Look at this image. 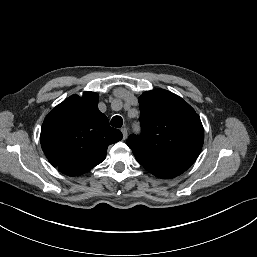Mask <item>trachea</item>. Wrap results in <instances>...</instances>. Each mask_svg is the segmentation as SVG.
<instances>
[{
	"label": "trachea",
	"mask_w": 257,
	"mask_h": 257,
	"mask_svg": "<svg viewBox=\"0 0 257 257\" xmlns=\"http://www.w3.org/2000/svg\"><path fill=\"white\" fill-rule=\"evenodd\" d=\"M111 125L113 127H116V128H120L123 124V119L121 116H114L112 119H111Z\"/></svg>",
	"instance_id": "1"
}]
</instances>
